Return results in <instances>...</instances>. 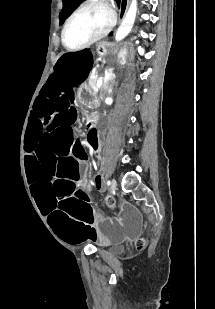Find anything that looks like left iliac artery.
Here are the masks:
<instances>
[{"mask_svg": "<svg viewBox=\"0 0 215 309\" xmlns=\"http://www.w3.org/2000/svg\"><path fill=\"white\" fill-rule=\"evenodd\" d=\"M106 184L109 186V185H110V181L108 180V181L106 182Z\"/></svg>", "mask_w": 215, "mask_h": 309, "instance_id": "obj_1", "label": "left iliac artery"}]
</instances>
